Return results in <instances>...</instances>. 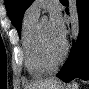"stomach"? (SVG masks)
<instances>
[{
    "label": "stomach",
    "mask_w": 89,
    "mask_h": 89,
    "mask_svg": "<svg viewBox=\"0 0 89 89\" xmlns=\"http://www.w3.org/2000/svg\"><path fill=\"white\" fill-rule=\"evenodd\" d=\"M51 89H64V86L61 83H59V84H55Z\"/></svg>",
    "instance_id": "obj_1"
}]
</instances>
